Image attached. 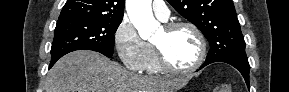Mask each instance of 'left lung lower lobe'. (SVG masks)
<instances>
[{
  "label": "left lung lower lobe",
  "mask_w": 289,
  "mask_h": 92,
  "mask_svg": "<svg viewBox=\"0 0 289 92\" xmlns=\"http://www.w3.org/2000/svg\"><path fill=\"white\" fill-rule=\"evenodd\" d=\"M214 62H224L235 67L243 75L246 81L247 87L250 88V84H249L250 65L248 63V59L237 58V57H219L210 61H205V63L200 67V69Z\"/></svg>",
  "instance_id": "left-lung-lower-lobe-1"
}]
</instances>
